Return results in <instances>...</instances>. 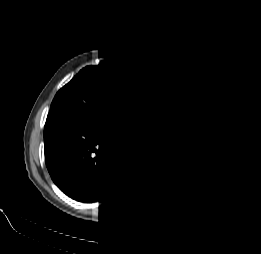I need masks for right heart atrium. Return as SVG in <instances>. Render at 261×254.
Listing matches in <instances>:
<instances>
[{
  "instance_id": "1",
  "label": "right heart atrium",
  "mask_w": 261,
  "mask_h": 254,
  "mask_svg": "<svg viewBox=\"0 0 261 254\" xmlns=\"http://www.w3.org/2000/svg\"><path fill=\"white\" fill-rule=\"evenodd\" d=\"M116 105H117V107H119L121 109L122 116H121L119 121L115 122V124L116 125H121L123 122L127 121L130 118L131 114H130V111L127 108L126 104H123L124 108H122V106H121V104L119 102H114V101H112L109 104L110 110L112 111L114 109V107H116Z\"/></svg>"
}]
</instances>
